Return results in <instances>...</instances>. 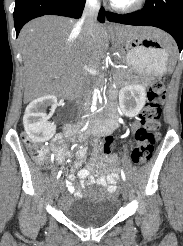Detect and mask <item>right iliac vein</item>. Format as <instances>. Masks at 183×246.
Returning <instances> with one entry per match:
<instances>
[{
    "instance_id": "obj_1",
    "label": "right iliac vein",
    "mask_w": 183,
    "mask_h": 246,
    "mask_svg": "<svg viewBox=\"0 0 183 246\" xmlns=\"http://www.w3.org/2000/svg\"><path fill=\"white\" fill-rule=\"evenodd\" d=\"M61 190V181H59L54 188V196L57 197Z\"/></svg>"
}]
</instances>
